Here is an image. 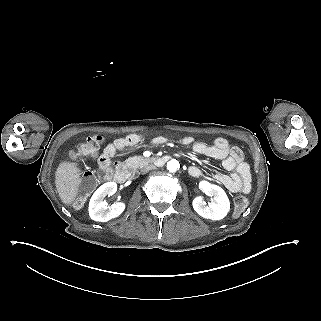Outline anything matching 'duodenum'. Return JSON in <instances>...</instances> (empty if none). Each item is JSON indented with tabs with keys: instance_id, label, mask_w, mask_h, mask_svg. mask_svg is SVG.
I'll return each mask as SVG.
<instances>
[{
	"instance_id": "1",
	"label": "duodenum",
	"mask_w": 321,
	"mask_h": 321,
	"mask_svg": "<svg viewBox=\"0 0 321 321\" xmlns=\"http://www.w3.org/2000/svg\"><path fill=\"white\" fill-rule=\"evenodd\" d=\"M168 156H162L155 160L154 164L158 167L165 165L169 161ZM131 177V172L121 166H117L113 173V179L118 183H124Z\"/></svg>"
}]
</instances>
